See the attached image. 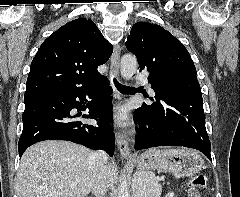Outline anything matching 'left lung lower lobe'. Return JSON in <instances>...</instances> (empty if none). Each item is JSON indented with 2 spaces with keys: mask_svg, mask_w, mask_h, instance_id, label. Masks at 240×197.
Wrapping results in <instances>:
<instances>
[{
  "mask_svg": "<svg viewBox=\"0 0 240 197\" xmlns=\"http://www.w3.org/2000/svg\"><path fill=\"white\" fill-rule=\"evenodd\" d=\"M201 95L194 91L177 92L170 98L136 109L134 121L139 129L135 149L184 146L201 151L211 160Z\"/></svg>",
  "mask_w": 240,
  "mask_h": 197,
  "instance_id": "0a47b994",
  "label": "left lung lower lobe"
}]
</instances>
